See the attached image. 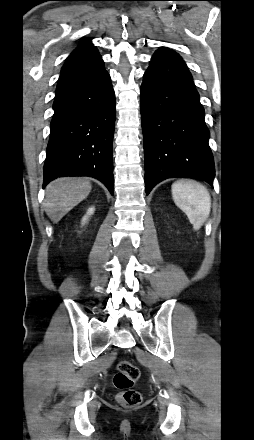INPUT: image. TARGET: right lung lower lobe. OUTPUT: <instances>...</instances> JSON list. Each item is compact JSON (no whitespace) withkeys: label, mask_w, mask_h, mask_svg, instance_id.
Returning <instances> with one entry per match:
<instances>
[{"label":"right lung lower lobe","mask_w":254,"mask_h":440,"mask_svg":"<svg viewBox=\"0 0 254 440\" xmlns=\"http://www.w3.org/2000/svg\"><path fill=\"white\" fill-rule=\"evenodd\" d=\"M43 187L62 176H90L113 195L115 94L103 61L59 77Z\"/></svg>","instance_id":"98d812e1"}]
</instances>
